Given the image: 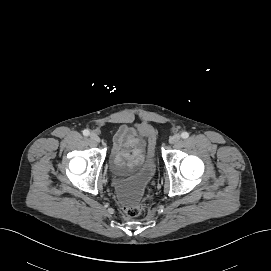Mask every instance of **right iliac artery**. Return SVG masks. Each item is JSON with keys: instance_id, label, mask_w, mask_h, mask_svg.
I'll use <instances>...</instances> for the list:
<instances>
[{"instance_id": "82829eb1", "label": "right iliac artery", "mask_w": 271, "mask_h": 271, "mask_svg": "<svg viewBox=\"0 0 271 271\" xmlns=\"http://www.w3.org/2000/svg\"><path fill=\"white\" fill-rule=\"evenodd\" d=\"M90 134L89 130L85 129L83 130V135L84 136H88Z\"/></svg>"}]
</instances>
